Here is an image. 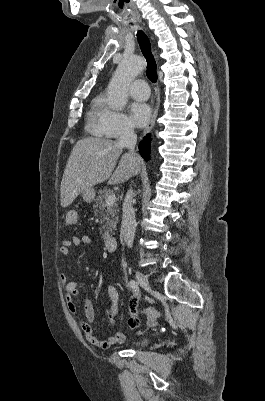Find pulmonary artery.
Returning <instances> with one entry per match:
<instances>
[{
	"label": "pulmonary artery",
	"instance_id": "1",
	"mask_svg": "<svg viewBox=\"0 0 265 401\" xmlns=\"http://www.w3.org/2000/svg\"><path fill=\"white\" fill-rule=\"evenodd\" d=\"M141 70H137L135 77H140ZM131 96L134 101L147 100L150 96L148 91V83L145 78H134L132 84Z\"/></svg>",
	"mask_w": 265,
	"mask_h": 401
}]
</instances>
